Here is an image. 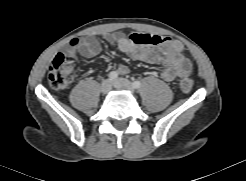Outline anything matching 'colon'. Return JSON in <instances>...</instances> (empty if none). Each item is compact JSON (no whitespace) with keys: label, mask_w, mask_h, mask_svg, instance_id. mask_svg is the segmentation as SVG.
Segmentation results:
<instances>
[{"label":"colon","mask_w":246,"mask_h":181,"mask_svg":"<svg viewBox=\"0 0 246 181\" xmlns=\"http://www.w3.org/2000/svg\"><path fill=\"white\" fill-rule=\"evenodd\" d=\"M78 39H74L72 43H78ZM139 42L149 45H157L161 42L160 36L156 35H143L139 38ZM73 66L63 54H57L49 68L47 80L51 87L56 89L66 88L71 81ZM179 87L183 92H189L193 88V80L189 72L180 75L178 81Z\"/></svg>","instance_id":"obj_1"}]
</instances>
